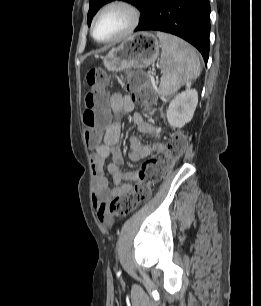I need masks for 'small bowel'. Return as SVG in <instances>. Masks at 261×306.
<instances>
[{"label":"small bowel","instance_id":"small-bowel-1","mask_svg":"<svg viewBox=\"0 0 261 306\" xmlns=\"http://www.w3.org/2000/svg\"><path fill=\"white\" fill-rule=\"evenodd\" d=\"M111 109L118 113L130 115L133 124L137 127L139 134L149 135L158 138L160 131L157 126L146 122L138 113H134V101L128 95L120 92H113L110 96ZM121 125L118 121L112 122L105 130L103 142L96 148L91 156L93 171L92 204L97 219L102 225H109L111 215L109 214L110 200L132 189V182L137 179L136 170L123 171L121 165L124 158L120 148ZM163 149L160 142L144 144L136 135L130 138L129 159L132 162H139L148 157L152 152ZM111 159L106 166L108 174L112 177L114 186H111L104 173V165Z\"/></svg>","mask_w":261,"mask_h":306}]
</instances>
